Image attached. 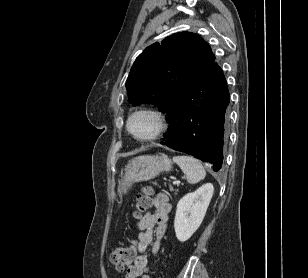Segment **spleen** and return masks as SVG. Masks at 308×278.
<instances>
[{
	"label": "spleen",
	"mask_w": 308,
	"mask_h": 278,
	"mask_svg": "<svg viewBox=\"0 0 308 278\" xmlns=\"http://www.w3.org/2000/svg\"><path fill=\"white\" fill-rule=\"evenodd\" d=\"M173 161L181 168L190 184L198 183L206 176L201 162L192 156H175Z\"/></svg>",
	"instance_id": "1"
}]
</instances>
